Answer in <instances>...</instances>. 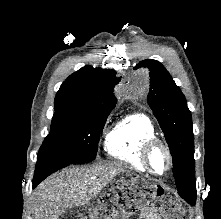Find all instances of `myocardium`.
Returning <instances> with one entry per match:
<instances>
[{
  "mask_svg": "<svg viewBox=\"0 0 221 219\" xmlns=\"http://www.w3.org/2000/svg\"><path fill=\"white\" fill-rule=\"evenodd\" d=\"M157 147H160L164 150L168 159V166L163 173L156 172L151 164V153ZM140 157L147 170L155 176H164L168 174L173 167V155L171 149L166 142L158 137L151 138L143 143L140 151Z\"/></svg>",
  "mask_w": 221,
  "mask_h": 219,
  "instance_id": "obj_1",
  "label": "myocardium"
}]
</instances>
